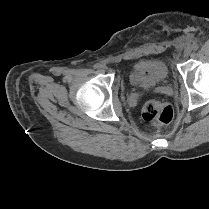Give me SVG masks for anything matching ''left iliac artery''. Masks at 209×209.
I'll return each instance as SVG.
<instances>
[{
    "label": "left iliac artery",
    "mask_w": 209,
    "mask_h": 209,
    "mask_svg": "<svg viewBox=\"0 0 209 209\" xmlns=\"http://www.w3.org/2000/svg\"><path fill=\"white\" fill-rule=\"evenodd\" d=\"M198 48H199L198 44H197V43H193L192 49H193L194 51H196Z\"/></svg>",
    "instance_id": "44dca946"
}]
</instances>
